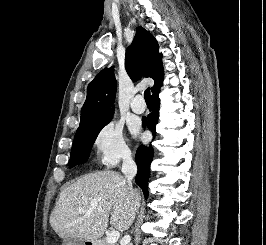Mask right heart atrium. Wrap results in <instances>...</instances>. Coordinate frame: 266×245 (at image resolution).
<instances>
[{
	"label": "right heart atrium",
	"mask_w": 266,
	"mask_h": 245,
	"mask_svg": "<svg viewBox=\"0 0 266 245\" xmlns=\"http://www.w3.org/2000/svg\"><path fill=\"white\" fill-rule=\"evenodd\" d=\"M95 157L101 166L112 168L131 157L123 128L115 121L101 126L93 138Z\"/></svg>",
	"instance_id": "obj_1"
}]
</instances>
